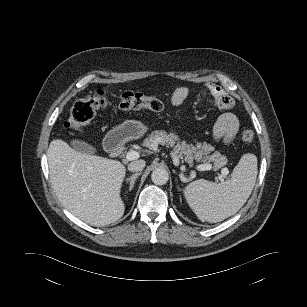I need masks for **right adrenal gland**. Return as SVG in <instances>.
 Masks as SVG:
<instances>
[{
	"mask_svg": "<svg viewBox=\"0 0 307 307\" xmlns=\"http://www.w3.org/2000/svg\"><path fill=\"white\" fill-rule=\"evenodd\" d=\"M141 175V173H135L130 178H127V182H130L129 191L134 187L135 180Z\"/></svg>",
	"mask_w": 307,
	"mask_h": 307,
	"instance_id": "right-adrenal-gland-1",
	"label": "right adrenal gland"
}]
</instances>
